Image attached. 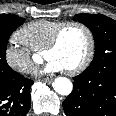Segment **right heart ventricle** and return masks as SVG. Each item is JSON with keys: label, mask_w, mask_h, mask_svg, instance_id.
Returning a JSON list of instances; mask_svg holds the SVG:
<instances>
[{"label": "right heart ventricle", "mask_w": 116, "mask_h": 116, "mask_svg": "<svg viewBox=\"0 0 116 116\" xmlns=\"http://www.w3.org/2000/svg\"><path fill=\"white\" fill-rule=\"evenodd\" d=\"M64 23L59 20H36L22 27L17 34L29 49L42 50Z\"/></svg>", "instance_id": "e07e8e85"}]
</instances>
